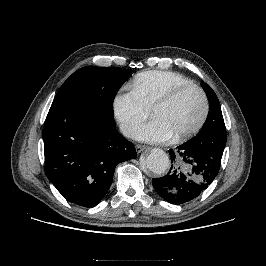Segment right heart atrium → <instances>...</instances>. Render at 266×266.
I'll list each match as a JSON object with an SVG mask.
<instances>
[{
	"label": "right heart atrium",
	"mask_w": 266,
	"mask_h": 266,
	"mask_svg": "<svg viewBox=\"0 0 266 266\" xmlns=\"http://www.w3.org/2000/svg\"><path fill=\"white\" fill-rule=\"evenodd\" d=\"M114 116L126 136H131L135 129L150 115V108L145 105L133 90L118 92L113 99Z\"/></svg>",
	"instance_id": "obj_1"
}]
</instances>
